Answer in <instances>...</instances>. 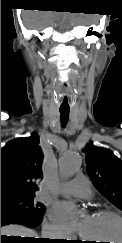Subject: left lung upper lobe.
Segmentation results:
<instances>
[{"label":"left lung upper lobe","mask_w":122,"mask_h":243,"mask_svg":"<svg viewBox=\"0 0 122 243\" xmlns=\"http://www.w3.org/2000/svg\"><path fill=\"white\" fill-rule=\"evenodd\" d=\"M87 172L100 193L122 211V161L92 143L83 149Z\"/></svg>","instance_id":"5c2ea615"}]
</instances>
